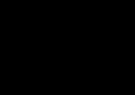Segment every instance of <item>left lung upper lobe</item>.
Returning a JSON list of instances; mask_svg holds the SVG:
<instances>
[{
  "mask_svg": "<svg viewBox=\"0 0 135 95\" xmlns=\"http://www.w3.org/2000/svg\"><path fill=\"white\" fill-rule=\"evenodd\" d=\"M135 50V36L115 19L95 16L85 62L99 71L119 67Z\"/></svg>",
  "mask_w": 135,
  "mask_h": 95,
  "instance_id": "left-lung-upper-lobe-1",
  "label": "left lung upper lobe"
}]
</instances>
